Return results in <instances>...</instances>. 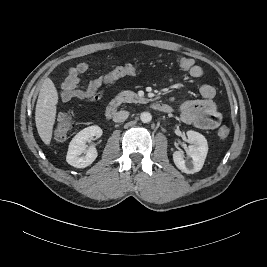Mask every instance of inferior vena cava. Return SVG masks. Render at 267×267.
I'll return each mask as SVG.
<instances>
[{
	"mask_svg": "<svg viewBox=\"0 0 267 267\" xmlns=\"http://www.w3.org/2000/svg\"><path fill=\"white\" fill-rule=\"evenodd\" d=\"M128 116H129L128 111H119L114 115L113 121L116 123H120L125 121L128 118Z\"/></svg>",
	"mask_w": 267,
	"mask_h": 267,
	"instance_id": "obj_1",
	"label": "inferior vena cava"
}]
</instances>
